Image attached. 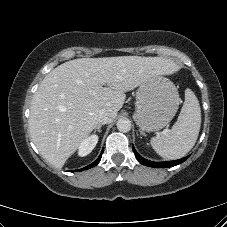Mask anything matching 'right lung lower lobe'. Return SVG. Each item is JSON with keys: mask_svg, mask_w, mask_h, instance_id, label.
<instances>
[{"mask_svg": "<svg viewBox=\"0 0 227 227\" xmlns=\"http://www.w3.org/2000/svg\"><path fill=\"white\" fill-rule=\"evenodd\" d=\"M102 153H103V151H102ZM102 153H101L100 156L97 158V160L94 161L92 164H90V165H88L87 167H84V168H82V169H79V170H77V171L86 170V169L92 168V167H94L95 165H97V164L99 163V161L101 160Z\"/></svg>", "mask_w": 227, "mask_h": 227, "instance_id": "98d812e1", "label": "right lung lower lobe"}]
</instances>
